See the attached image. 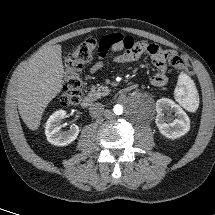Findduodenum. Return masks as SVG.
<instances>
[{"instance_id": "1", "label": "duodenum", "mask_w": 215, "mask_h": 215, "mask_svg": "<svg viewBox=\"0 0 215 215\" xmlns=\"http://www.w3.org/2000/svg\"><path fill=\"white\" fill-rule=\"evenodd\" d=\"M135 89L134 85L128 86L126 87L122 94H128L129 92H131L132 90ZM96 101V96L93 94H87L83 97V99L81 100V106L83 108H88L90 107L94 102Z\"/></svg>"}]
</instances>
